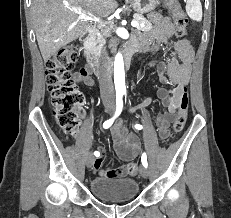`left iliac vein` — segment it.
I'll list each match as a JSON object with an SVG mask.
<instances>
[{
	"mask_svg": "<svg viewBox=\"0 0 231 218\" xmlns=\"http://www.w3.org/2000/svg\"><path fill=\"white\" fill-rule=\"evenodd\" d=\"M149 175V171L146 167H141V176L147 178Z\"/></svg>",
	"mask_w": 231,
	"mask_h": 218,
	"instance_id": "obj_1",
	"label": "left iliac vein"
}]
</instances>
